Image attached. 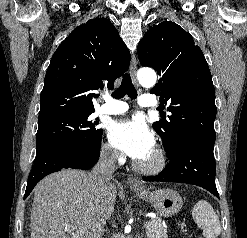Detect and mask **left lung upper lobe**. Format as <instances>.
<instances>
[{
    "mask_svg": "<svg viewBox=\"0 0 247 238\" xmlns=\"http://www.w3.org/2000/svg\"><path fill=\"white\" fill-rule=\"evenodd\" d=\"M138 57L143 66L160 75L150 93L160 95L162 106L171 113L153 124L165 150L170 152L184 139L213 148L215 90L204 54L190 33L172 21H163L140 40Z\"/></svg>",
    "mask_w": 247,
    "mask_h": 238,
    "instance_id": "obj_1",
    "label": "left lung upper lobe"
}]
</instances>
